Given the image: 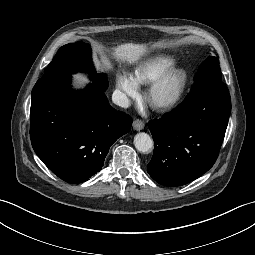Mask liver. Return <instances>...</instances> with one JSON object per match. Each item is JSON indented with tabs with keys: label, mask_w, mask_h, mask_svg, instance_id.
<instances>
[{
	"label": "liver",
	"mask_w": 255,
	"mask_h": 255,
	"mask_svg": "<svg viewBox=\"0 0 255 255\" xmlns=\"http://www.w3.org/2000/svg\"><path fill=\"white\" fill-rule=\"evenodd\" d=\"M106 51L117 60L135 63L147 52V47L141 44L126 43L108 48ZM74 77L81 83L87 81L85 77L79 74L74 75Z\"/></svg>",
	"instance_id": "liver-1"
}]
</instances>
